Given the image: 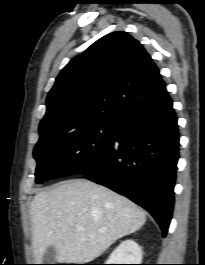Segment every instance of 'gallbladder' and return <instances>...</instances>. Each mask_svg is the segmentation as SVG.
<instances>
[{
	"mask_svg": "<svg viewBox=\"0 0 205 265\" xmlns=\"http://www.w3.org/2000/svg\"><path fill=\"white\" fill-rule=\"evenodd\" d=\"M56 260V250L53 246H49L43 256L44 264H53Z\"/></svg>",
	"mask_w": 205,
	"mask_h": 265,
	"instance_id": "gallbladder-1",
	"label": "gallbladder"
}]
</instances>
